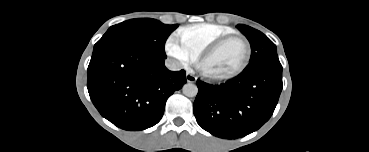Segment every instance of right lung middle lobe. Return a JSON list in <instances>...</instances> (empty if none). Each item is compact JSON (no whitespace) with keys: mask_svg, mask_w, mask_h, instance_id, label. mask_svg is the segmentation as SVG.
<instances>
[{"mask_svg":"<svg viewBox=\"0 0 369 152\" xmlns=\"http://www.w3.org/2000/svg\"><path fill=\"white\" fill-rule=\"evenodd\" d=\"M176 25H166L150 18H138L124 21L110 27L94 45L93 53L108 47L128 44L145 49L160 58H166L164 46Z\"/></svg>","mask_w":369,"mask_h":152,"instance_id":"obj_1","label":"right lung middle lobe"}]
</instances>
